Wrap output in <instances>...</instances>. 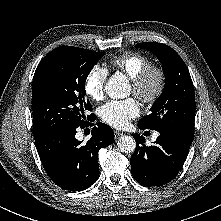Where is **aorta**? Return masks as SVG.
Returning <instances> with one entry per match:
<instances>
[{
	"label": "aorta",
	"instance_id": "762f6f07",
	"mask_svg": "<svg viewBox=\"0 0 221 221\" xmlns=\"http://www.w3.org/2000/svg\"><path fill=\"white\" fill-rule=\"evenodd\" d=\"M107 95L113 99H123L130 95V85L128 79L122 73L111 76L106 85ZM118 148L123 153H133L136 148V142L132 136H122L118 140Z\"/></svg>",
	"mask_w": 221,
	"mask_h": 221
}]
</instances>
